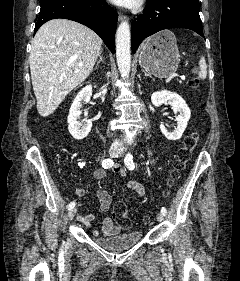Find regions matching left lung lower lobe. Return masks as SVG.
<instances>
[{
	"mask_svg": "<svg viewBox=\"0 0 240 281\" xmlns=\"http://www.w3.org/2000/svg\"><path fill=\"white\" fill-rule=\"evenodd\" d=\"M169 28L191 29L204 38L199 0H147L145 11L131 25L132 52L146 37Z\"/></svg>",
	"mask_w": 240,
	"mask_h": 281,
	"instance_id": "0a47b994",
	"label": "left lung lower lobe"
}]
</instances>
